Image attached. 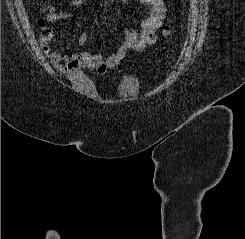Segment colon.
<instances>
[{
    "label": "colon",
    "instance_id": "1",
    "mask_svg": "<svg viewBox=\"0 0 245 239\" xmlns=\"http://www.w3.org/2000/svg\"><path fill=\"white\" fill-rule=\"evenodd\" d=\"M39 28H40V32H39L40 42L41 44L46 45L48 42L51 41L53 37L52 30L46 25L44 20L39 21ZM163 32L165 35H171L172 29L169 26H166Z\"/></svg>",
    "mask_w": 245,
    "mask_h": 239
}]
</instances>
